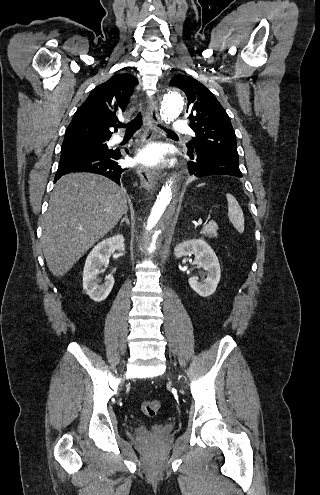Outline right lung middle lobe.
Returning a JSON list of instances; mask_svg holds the SVG:
<instances>
[{
    "instance_id": "right-lung-middle-lobe-1",
    "label": "right lung middle lobe",
    "mask_w": 320,
    "mask_h": 495,
    "mask_svg": "<svg viewBox=\"0 0 320 495\" xmlns=\"http://www.w3.org/2000/svg\"><path fill=\"white\" fill-rule=\"evenodd\" d=\"M109 138H83L76 140L63 141L61 146L64 150H107V144L105 143Z\"/></svg>"
}]
</instances>
